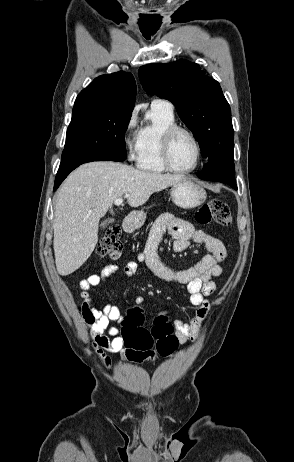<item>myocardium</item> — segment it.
Returning a JSON list of instances; mask_svg holds the SVG:
<instances>
[{"label": "myocardium", "instance_id": "myocardium-1", "mask_svg": "<svg viewBox=\"0 0 294 462\" xmlns=\"http://www.w3.org/2000/svg\"><path fill=\"white\" fill-rule=\"evenodd\" d=\"M180 133H184L187 136H189L196 147L195 162L193 166H191L190 168H186V169H180V168L175 167L171 160V146H172L174 138ZM202 153L203 151H202V146L200 144V141L198 140L197 136L188 128H185L179 125H174V126L167 128L164 131L162 135V139H161V160L167 170L174 172V173H180V174L193 172L194 170L197 169V167L199 166L201 162Z\"/></svg>", "mask_w": 294, "mask_h": 462}]
</instances>
